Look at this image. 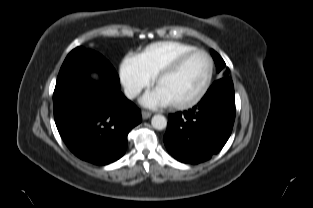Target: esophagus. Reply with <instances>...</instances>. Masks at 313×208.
<instances>
[{"instance_id":"esophagus-1","label":"esophagus","mask_w":313,"mask_h":208,"mask_svg":"<svg viewBox=\"0 0 313 208\" xmlns=\"http://www.w3.org/2000/svg\"><path fill=\"white\" fill-rule=\"evenodd\" d=\"M151 115H152V113L149 112V111H145V110L142 111V118H143L144 120L150 118Z\"/></svg>"}]
</instances>
